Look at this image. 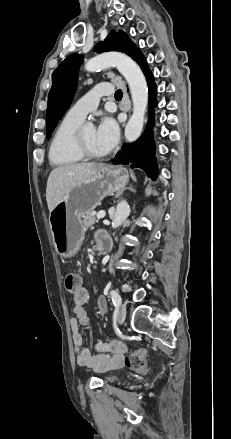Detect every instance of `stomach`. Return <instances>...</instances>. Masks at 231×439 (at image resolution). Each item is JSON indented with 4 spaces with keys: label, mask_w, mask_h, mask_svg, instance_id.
Listing matches in <instances>:
<instances>
[{
    "label": "stomach",
    "mask_w": 231,
    "mask_h": 439,
    "mask_svg": "<svg viewBox=\"0 0 231 439\" xmlns=\"http://www.w3.org/2000/svg\"><path fill=\"white\" fill-rule=\"evenodd\" d=\"M128 173L123 167L103 166L95 175L78 182L54 206L49 223L56 252L63 258L75 256L84 239L82 217L101 201L123 190Z\"/></svg>",
    "instance_id": "stomach-1"
}]
</instances>
